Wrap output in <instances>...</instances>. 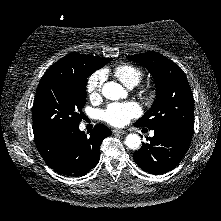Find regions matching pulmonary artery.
I'll list each match as a JSON object with an SVG mask.
<instances>
[{
    "mask_svg": "<svg viewBox=\"0 0 221 221\" xmlns=\"http://www.w3.org/2000/svg\"><path fill=\"white\" fill-rule=\"evenodd\" d=\"M151 136H153L154 135V133L153 132H151V134H150Z\"/></svg>",
    "mask_w": 221,
    "mask_h": 221,
    "instance_id": "1",
    "label": "pulmonary artery"
}]
</instances>
